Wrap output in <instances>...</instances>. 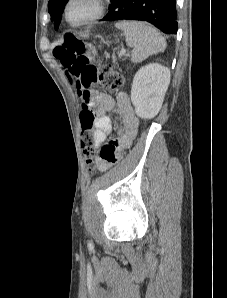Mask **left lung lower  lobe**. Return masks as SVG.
Returning <instances> with one entry per match:
<instances>
[{"mask_svg": "<svg viewBox=\"0 0 227 298\" xmlns=\"http://www.w3.org/2000/svg\"><path fill=\"white\" fill-rule=\"evenodd\" d=\"M102 19L148 21L166 34H176L178 23L175 0H111Z\"/></svg>", "mask_w": 227, "mask_h": 298, "instance_id": "1", "label": "left lung lower lobe"}]
</instances>
